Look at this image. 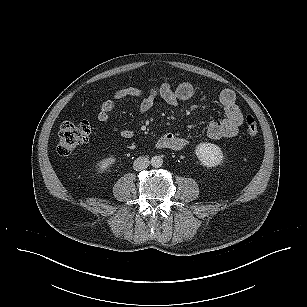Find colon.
I'll use <instances>...</instances> for the list:
<instances>
[{"instance_id": "colon-1", "label": "colon", "mask_w": 307, "mask_h": 307, "mask_svg": "<svg viewBox=\"0 0 307 307\" xmlns=\"http://www.w3.org/2000/svg\"><path fill=\"white\" fill-rule=\"evenodd\" d=\"M245 131L251 137L259 132L257 120L252 115L245 118ZM91 134V125L87 120L79 122H65L61 125L58 133V151L67 155L76 148L86 143Z\"/></svg>"}]
</instances>
